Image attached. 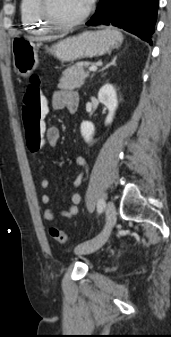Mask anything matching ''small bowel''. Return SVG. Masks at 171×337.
<instances>
[{"instance_id": "c3829d8e", "label": "small bowel", "mask_w": 171, "mask_h": 337, "mask_svg": "<svg viewBox=\"0 0 171 337\" xmlns=\"http://www.w3.org/2000/svg\"><path fill=\"white\" fill-rule=\"evenodd\" d=\"M70 105H79V96L76 92L66 89H59L55 91L51 97V108L53 110H60L67 108L69 110ZM45 135L47 142L50 146H56L60 140V130L57 126L50 125L45 129ZM76 166L85 169L87 167V161L83 156H77L74 159ZM83 181V172H81L73 181L71 202L72 204L64 210L60 211V215L65 219H70L79 213V204L81 202V194L79 188ZM42 189L46 190L50 186V181L47 178H43L40 182ZM43 204L48 205L51 203L52 198L49 194L44 193L41 196ZM44 218L49 222H54L56 219V210L54 208H47L44 212Z\"/></svg>"}]
</instances>
